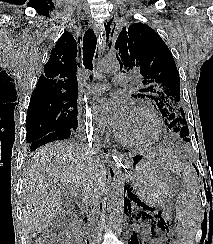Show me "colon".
Returning a JSON list of instances; mask_svg holds the SVG:
<instances>
[{"instance_id":"1","label":"colon","mask_w":213,"mask_h":244,"mask_svg":"<svg viewBox=\"0 0 213 244\" xmlns=\"http://www.w3.org/2000/svg\"><path fill=\"white\" fill-rule=\"evenodd\" d=\"M37 244H53V237L48 235L40 240Z\"/></svg>"}]
</instances>
